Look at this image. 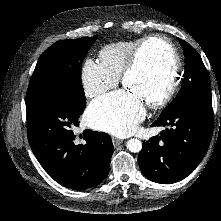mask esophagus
<instances>
[{
    "label": "esophagus",
    "mask_w": 221,
    "mask_h": 221,
    "mask_svg": "<svg viewBox=\"0 0 221 221\" xmlns=\"http://www.w3.org/2000/svg\"><path fill=\"white\" fill-rule=\"evenodd\" d=\"M112 142L114 147H118L121 143H123V140L116 137H112Z\"/></svg>",
    "instance_id": "1"
}]
</instances>
